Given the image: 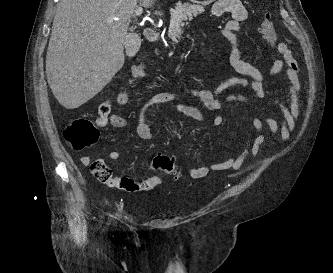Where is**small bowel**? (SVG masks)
Segmentation results:
<instances>
[{"label":"small bowel","instance_id":"small-bowel-1","mask_svg":"<svg viewBox=\"0 0 333 273\" xmlns=\"http://www.w3.org/2000/svg\"><path fill=\"white\" fill-rule=\"evenodd\" d=\"M227 13L232 18L222 25L220 34L229 46V63L238 76L225 80L214 89L189 88L180 92H159L152 95L143 103L138 112L136 125L138 136L142 140L152 139V132L146 121V114L154 106L168 107L196 122H202L203 114L197 107L180 102V99L185 97L199 99L206 109L212 113L211 121L213 125L220 126L224 123V116L220 113V110L227 103H246L248 101V98L242 94L234 93L223 96L224 93L233 88H244L251 90L256 97L263 99L266 97L264 89L266 79L277 76L280 73H284L286 76L290 101L286 104L283 101L276 100L281 111L279 119L271 116L263 118L252 117L251 124L257 135L251 140L246 128H244L247 142L240 154L230 155L222 162L205 164L199 167H188L187 173L193 179L203 178L212 171L240 170L245 159L250 154L253 157L260 155V147L266 139L265 127L276 140H288L296 127L301 110L299 66L289 46L284 42L273 45L280 58L275 59L270 65L268 72L264 73L253 64L243 60L238 47L236 34L241 30L242 22L247 19L245 6L240 0H218L213 6V14L221 16ZM144 67V62H136L130 72L131 77H145L146 71ZM116 100L119 105H128L130 103L128 90L126 88L120 90ZM111 109L112 100H100L96 112V124L103 127L110 123L115 128H125L128 125L127 120L117 116V112L110 111ZM108 157L112 161H117L120 158V153L111 151ZM81 162L84 165H90L92 158L89 155H84L81 157ZM166 175V172L156 171L154 175L140 180H134L129 177H117L110 186L127 192H143L161 185Z\"/></svg>","mask_w":333,"mask_h":273}]
</instances>
